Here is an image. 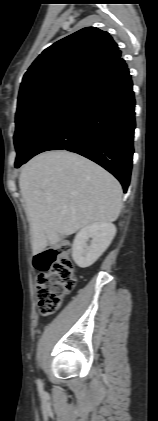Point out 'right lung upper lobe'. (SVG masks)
<instances>
[{"mask_svg": "<svg viewBox=\"0 0 158 421\" xmlns=\"http://www.w3.org/2000/svg\"><path fill=\"white\" fill-rule=\"evenodd\" d=\"M121 58L108 32L83 28L45 49L25 73L18 100L63 83L85 84L96 73Z\"/></svg>", "mask_w": 158, "mask_h": 421, "instance_id": "right-lung-upper-lobe-1", "label": "right lung upper lobe"}]
</instances>
